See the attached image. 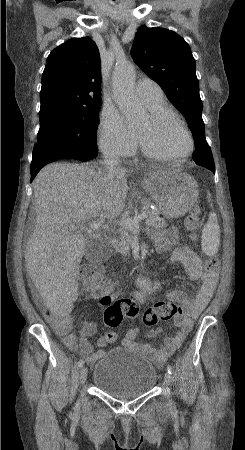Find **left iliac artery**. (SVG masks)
<instances>
[{
  "instance_id": "44dca946",
  "label": "left iliac artery",
  "mask_w": 245,
  "mask_h": 450,
  "mask_svg": "<svg viewBox=\"0 0 245 450\" xmlns=\"http://www.w3.org/2000/svg\"><path fill=\"white\" fill-rule=\"evenodd\" d=\"M167 371H168L169 374H172V373H173V369H172V366H171V365H168V366H167Z\"/></svg>"
}]
</instances>
